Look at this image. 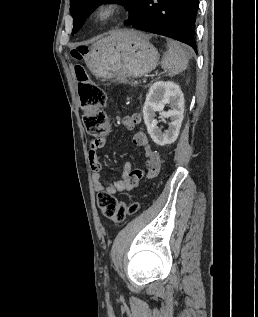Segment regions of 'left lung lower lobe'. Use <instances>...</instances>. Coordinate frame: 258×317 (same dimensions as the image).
Instances as JSON below:
<instances>
[{
    "mask_svg": "<svg viewBox=\"0 0 258 317\" xmlns=\"http://www.w3.org/2000/svg\"><path fill=\"white\" fill-rule=\"evenodd\" d=\"M198 6L199 0H142L128 25L181 41L197 53L194 31Z\"/></svg>",
    "mask_w": 258,
    "mask_h": 317,
    "instance_id": "left-lung-lower-lobe-1",
    "label": "left lung lower lobe"
}]
</instances>
